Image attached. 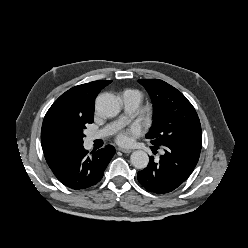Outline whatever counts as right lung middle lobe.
Listing matches in <instances>:
<instances>
[{
    "mask_svg": "<svg viewBox=\"0 0 248 248\" xmlns=\"http://www.w3.org/2000/svg\"><path fill=\"white\" fill-rule=\"evenodd\" d=\"M93 120H80L78 122H76L73 126H72V136L74 137V139L77 141V143L79 145H83V131L86 128V124L88 123H92Z\"/></svg>",
    "mask_w": 248,
    "mask_h": 248,
    "instance_id": "dd1d6c3e",
    "label": "right lung middle lobe"
}]
</instances>
